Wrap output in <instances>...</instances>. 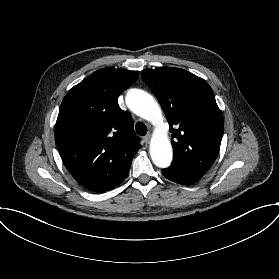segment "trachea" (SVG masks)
Instances as JSON below:
<instances>
[{"mask_svg": "<svg viewBox=\"0 0 279 279\" xmlns=\"http://www.w3.org/2000/svg\"><path fill=\"white\" fill-rule=\"evenodd\" d=\"M136 132L138 135H141V136L146 135L147 128L142 122H138L136 124Z\"/></svg>", "mask_w": 279, "mask_h": 279, "instance_id": "1", "label": "trachea"}]
</instances>
